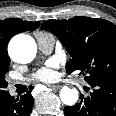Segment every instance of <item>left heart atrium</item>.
I'll return each instance as SVG.
<instances>
[{"label":"left heart atrium","mask_w":116,"mask_h":116,"mask_svg":"<svg viewBox=\"0 0 116 116\" xmlns=\"http://www.w3.org/2000/svg\"><path fill=\"white\" fill-rule=\"evenodd\" d=\"M58 64L55 60H49L44 66L38 68L34 74L33 79L42 82H51L57 78L55 69Z\"/></svg>","instance_id":"obj_1"}]
</instances>
